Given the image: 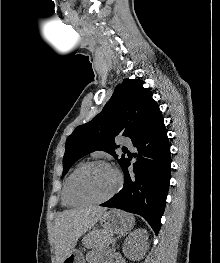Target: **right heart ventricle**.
I'll return each mask as SVG.
<instances>
[{
    "mask_svg": "<svg viewBox=\"0 0 220 263\" xmlns=\"http://www.w3.org/2000/svg\"><path fill=\"white\" fill-rule=\"evenodd\" d=\"M83 162H79L75 165V167L72 169V171L70 172V174L68 175V177L66 178L65 182H64V185H63V189H62V204L66 207H71V206H74L73 204H71L68 199H67V184H68V180L71 176V174L80 166L82 165Z\"/></svg>",
    "mask_w": 220,
    "mask_h": 263,
    "instance_id": "e07e8e85",
    "label": "right heart ventricle"
}]
</instances>
